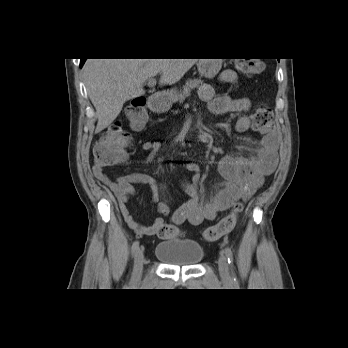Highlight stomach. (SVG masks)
Instances as JSON below:
<instances>
[{
  "label": "stomach",
  "instance_id": "0dacf381",
  "mask_svg": "<svg viewBox=\"0 0 348 348\" xmlns=\"http://www.w3.org/2000/svg\"><path fill=\"white\" fill-rule=\"evenodd\" d=\"M222 66L221 59H199L197 69L202 77L211 79L215 77ZM178 92L176 89L162 93L155 101V108L159 111L170 109L172 103L177 99Z\"/></svg>",
  "mask_w": 348,
  "mask_h": 348
}]
</instances>
